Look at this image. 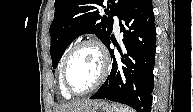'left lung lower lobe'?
Returning <instances> with one entry per match:
<instances>
[{"label": "left lung lower lobe", "instance_id": "1", "mask_svg": "<svg viewBox=\"0 0 193 112\" xmlns=\"http://www.w3.org/2000/svg\"><path fill=\"white\" fill-rule=\"evenodd\" d=\"M122 43L110 50L112 36L105 44L111 52L112 69L105 83L90 99H108L150 112L154 85L156 29L151 0H132L119 16Z\"/></svg>", "mask_w": 193, "mask_h": 112}]
</instances>
